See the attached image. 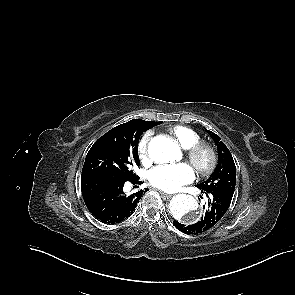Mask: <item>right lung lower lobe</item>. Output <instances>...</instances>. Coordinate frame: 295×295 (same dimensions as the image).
<instances>
[{"instance_id": "obj_1", "label": "right lung lower lobe", "mask_w": 295, "mask_h": 295, "mask_svg": "<svg viewBox=\"0 0 295 295\" xmlns=\"http://www.w3.org/2000/svg\"><path fill=\"white\" fill-rule=\"evenodd\" d=\"M128 181L134 184L142 183V181H139V177ZM125 182L107 178L81 180V191L85 204L89 211L101 222L107 224L119 223L134 212L137 202L146 189L126 195L123 192Z\"/></svg>"}]
</instances>
